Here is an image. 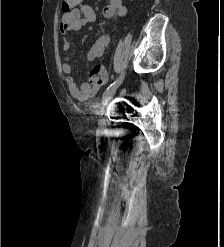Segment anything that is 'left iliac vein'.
Returning <instances> with one entry per match:
<instances>
[{
  "instance_id": "1",
  "label": "left iliac vein",
  "mask_w": 224,
  "mask_h": 247,
  "mask_svg": "<svg viewBox=\"0 0 224 247\" xmlns=\"http://www.w3.org/2000/svg\"><path fill=\"white\" fill-rule=\"evenodd\" d=\"M119 85H117V86H115L113 88H110L109 90H106L104 92L103 97H102V103H103V105L107 104L113 98V96H114L116 90L118 89ZM99 125H100V127L103 126L102 119L99 120Z\"/></svg>"
}]
</instances>
